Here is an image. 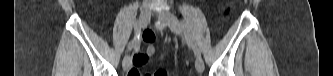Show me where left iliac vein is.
<instances>
[{"instance_id":"left-iliac-vein-1","label":"left iliac vein","mask_w":333,"mask_h":76,"mask_svg":"<svg viewBox=\"0 0 333 76\" xmlns=\"http://www.w3.org/2000/svg\"><path fill=\"white\" fill-rule=\"evenodd\" d=\"M158 18L165 22L175 34L182 35L183 26L174 14L170 13L169 11H163L158 14ZM195 67L199 73L204 71V62L203 59L199 56L196 57Z\"/></svg>"}]
</instances>
